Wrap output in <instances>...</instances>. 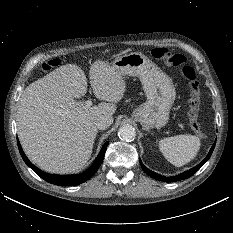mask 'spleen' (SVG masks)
I'll list each match as a JSON object with an SVG mask.
<instances>
[{"mask_svg": "<svg viewBox=\"0 0 233 233\" xmlns=\"http://www.w3.org/2000/svg\"><path fill=\"white\" fill-rule=\"evenodd\" d=\"M200 145L199 138L190 134L167 137L159 141V149L163 156L177 167L194 159Z\"/></svg>", "mask_w": 233, "mask_h": 233, "instance_id": "1", "label": "spleen"}]
</instances>
